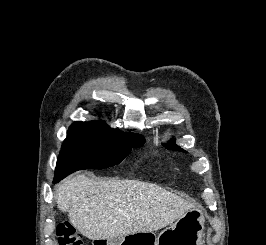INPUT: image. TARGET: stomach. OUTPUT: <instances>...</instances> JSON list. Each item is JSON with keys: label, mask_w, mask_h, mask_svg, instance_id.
Masks as SVG:
<instances>
[{"label": "stomach", "mask_w": 266, "mask_h": 245, "mask_svg": "<svg viewBox=\"0 0 266 245\" xmlns=\"http://www.w3.org/2000/svg\"><path fill=\"white\" fill-rule=\"evenodd\" d=\"M202 211L193 209L187 211L183 217L177 219L170 227L159 233L158 237L153 231L149 233H129L128 237H118L106 241V245H202L204 235Z\"/></svg>", "instance_id": "stomach-1"}]
</instances>
